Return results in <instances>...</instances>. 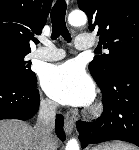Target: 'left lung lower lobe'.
Instances as JSON below:
<instances>
[{"mask_svg": "<svg viewBox=\"0 0 139 150\" xmlns=\"http://www.w3.org/2000/svg\"><path fill=\"white\" fill-rule=\"evenodd\" d=\"M103 93L104 111L94 122H77L82 147L122 140L139 147V55L126 60Z\"/></svg>", "mask_w": 139, "mask_h": 150, "instance_id": "left-lung-lower-lobe-1", "label": "left lung lower lobe"}]
</instances>
